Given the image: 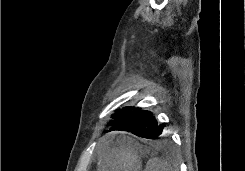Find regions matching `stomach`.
I'll return each instance as SVG.
<instances>
[{
  "label": "stomach",
  "instance_id": "stomach-1",
  "mask_svg": "<svg viewBox=\"0 0 245 171\" xmlns=\"http://www.w3.org/2000/svg\"><path fill=\"white\" fill-rule=\"evenodd\" d=\"M145 148L127 135L113 136L102 146L97 171H139Z\"/></svg>",
  "mask_w": 245,
  "mask_h": 171
}]
</instances>
